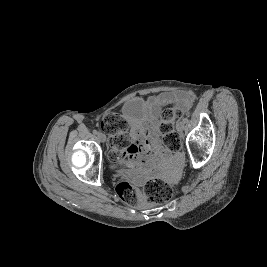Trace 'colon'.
Returning a JSON list of instances; mask_svg holds the SVG:
<instances>
[{
  "instance_id": "5ec220e1",
  "label": "colon",
  "mask_w": 267,
  "mask_h": 267,
  "mask_svg": "<svg viewBox=\"0 0 267 267\" xmlns=\"http://www.w3.org/2000/svg\"><path fill=\"white\" fill-rule=\"evenodd\" d=\"M179 117L180 111L177 108H167L161 113L155 126L156 132L170 151H178L181 148V140L176 131V121ZM99 126L108 136V160L113 164L121 163L132 151L127 121L119 114L109 113L101 119ZM116 191L127 204L134 205L139 202L140 192L129 181L118 183ZM145 191L147 198L155 203H165L172 196L170 185L158 179L148 181Z\"/></svg>"
}]
</instances>
